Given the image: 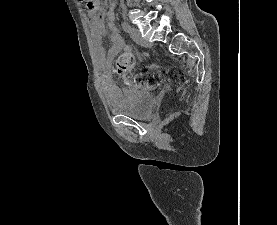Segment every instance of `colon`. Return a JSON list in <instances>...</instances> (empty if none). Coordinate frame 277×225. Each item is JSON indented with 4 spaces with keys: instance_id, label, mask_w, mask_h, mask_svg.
<instances>
[{
    "instance_id": "1",
    "label": "colon",
    "mask_w": 277,
    "mask_h": 225,
    "mask_svg": "<svg viewBox=\"0 0 277 225\" xmlns=\"http://www.w3.org/2000/svg\"><path fill=\"white\" fill-rule=\"evenodd\" d=\"M86 1V0H82ZM86 8H90V4H85ZM135 58L131 53H123L116 60V72L120 77H126L132 70ZM160 74L147 71L136 76L135 82L138 87L146 89H155L158 84Z\"/></svg>"
}]
</instances>
